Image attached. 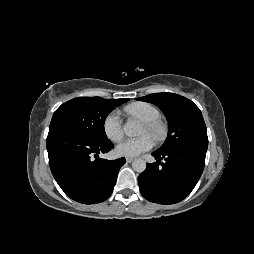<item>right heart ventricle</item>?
Here are the masks:
<instances>
[{
  "mask_svg": "<svg viewBox=\"0 0 254 254\" xmlns=\"http://www.w3.org/2000/svg\"><path fill=\"white\" fill-rule=\"evenodd\" d=\"M125 112L139 117L142 121H154L160 118L159 110L146 102H134L124 108Z\"/></svg>",
  "mask_w": 254,
  "mask_h": 254,
  "instance_id": "obj_1",
  "label": "right heart ventricle"
}]
</instances>
